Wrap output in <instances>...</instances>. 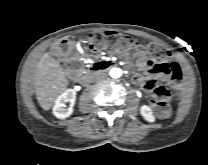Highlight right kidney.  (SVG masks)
Returning a JSON list of instances; mask_svg holds the SVG:
<instances>
[{
  "label": "right kidney",
  "mask_w": 208,
  "mask_h": 165,
  "mask_svg": "<svg viewBox=\"0 0 208 165\" xmlns=\"http://www.w3.org/2000/svg\"><path fill=\"white\" fill-rule=\"evenodd\" d=\"M76 100V91L74 89H68L59 95L55 101L53 107V114L59 119H64L69 117L73 112V106ZM69 102L70 107L66 108L65 103Z\"/></svg>",
  "instance_id": "obj_1"
}]
</instances>
